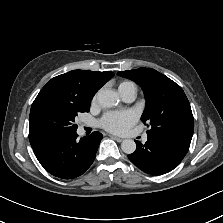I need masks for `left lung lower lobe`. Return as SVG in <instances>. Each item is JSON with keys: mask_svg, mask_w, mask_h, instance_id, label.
Segmentation results:
<instances>
[{"mask_svg": "<svg viewBox=\"0 0 223 223\" xmlns=\"http://www.w3.org/2000/svg\"><path fill=\"white\" fill-rule=\"evenodd\" d=\"M145 145L136 141V151L128 158L142 171L161 175L173 170L188 152L190 144L171 138L147 134Z\"/></svg>", "mask_w": 223, "mask_h": 223, "instance_id": "0a47b994", "label": "left lung lower lobe"}]
</instances>
